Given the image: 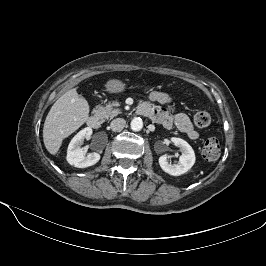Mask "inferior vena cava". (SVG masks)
<instances>
[{
    "mask_svg": "<svg viewBox=\"0 0 266 266\" xmlns=\"http://www.w3.org/2000/svg\"><path fill=\"white\" fill-rule=\"evenodd\" d=\"M126 125V121L123 118H116L111 121V129L113 131H121Z\"/></svg>",
    "mask_w": 266,
    "mask_h": 266,
    "instance_id": "602c4592",
    "label": "inferior vena cava"
}]
</instances>
